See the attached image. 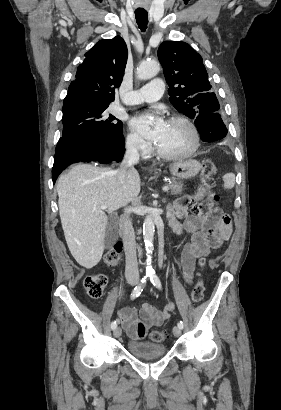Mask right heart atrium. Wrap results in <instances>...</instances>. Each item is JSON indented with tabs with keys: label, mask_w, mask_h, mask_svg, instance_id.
Returning a JSON list of instances; mask_svg holds the SVG:
<instances>
[{
	"label": "right heart atrium",
	"mask_w": 281,
	"mask_h": 410,
	"mask_svg": "<svg viewBox=\"0 0 281 410\" xmlns=\"http://www.w3.org/2000/svg\"><path fill=\"white\" fill-rule=\"evenodd\" d=\"M126 147L130 151L146 156L151 151V145L140 134L131 131L126 137Z\"/></svg>",
	"instance_id": "right-heart-atrium-1"
}]
</instances>
